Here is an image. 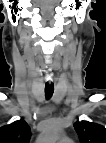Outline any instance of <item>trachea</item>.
<instances>
[{
	"label": "trachea",
	"mask_w": 106,
	"mask_h": 143,
	"mask_svg": "<svg viewBox=\"0 0 106 143\" xmlns=\"http://www.w3.org/2000/svg\"><path fill=\"white\" fill-rule=\"evenodd\" d=\"M54 93V84H45V96L47 99L51 98Z\"/></svg>",
	"instance_id": "obj_1"
}]
</instances>
